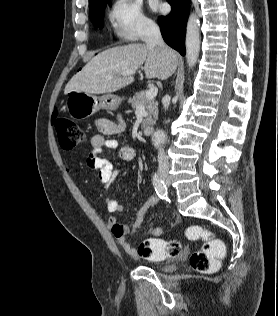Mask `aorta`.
I'll list each match as a JSON object with an SVG mask.
<instances>
[{
    "instance_id": "1",
    "label": "aorta",
    "mask_w": 278,
    "mask_h": 316,
    "mask_svg": "<svg viewBox=\"0 0 278 316\" xmlns=\"http://www.w3.org/2000/svg\"><path fill=\"white\" fill-rule=\"evenodd\" d=\"M186 58L189 68L195 66L200 52V20L196 13L189 16L186 30ZM166 140L162 131H156L152 136L153 145L158 148Z\"/></svg>"
}]
</instances>
